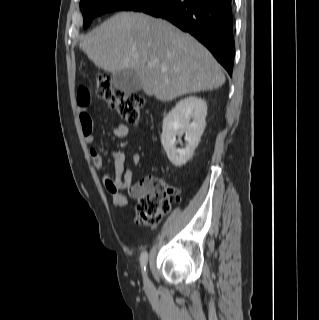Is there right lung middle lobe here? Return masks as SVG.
<instances>
[{
    "mask_svg": "<svg viewBox=\"0 0 319 320\" xmlns=\"http://www.w3.org/2000/svg\"><path fill=\"white\" fill-rule=\"evenodd\" d=\"M155 0H81L80 9L84 17L83 27L88 28L92 20L101 14L115 10H134Z\"/></svg>",
    "mask_w": 319,
    "mask_h": 320,
    "instance_id": "right-lung-middle-lobe-1",
    "label": "right lung middle lobe"
}]
</instances>
